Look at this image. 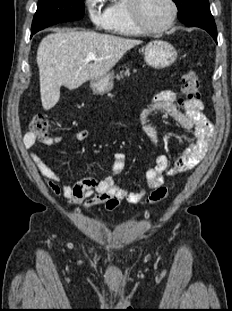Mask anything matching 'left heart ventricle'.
Returning a JSON list of instances; mask_svg holds the SVG:
<instances>
[{
    "label": "left heart ventricle",
    "instance_id": "left-heart-ventricle-1",
    "mask_svg": "<svg viewBox=\"0 0 232 311\" xmlns=\"http://www.w3.org/2000/svg\"><path fill=\"white\" fill-rule=\"evenodd\" d=\"M140 13L147 26L157 28L169 20L171 7L167 0H141Z\"/></svg>",
    "mask_w": 232,
    "mask_h": 311
}]
</instances>
